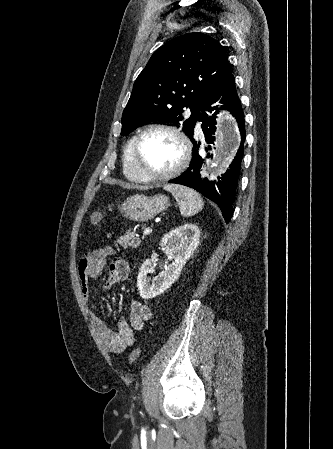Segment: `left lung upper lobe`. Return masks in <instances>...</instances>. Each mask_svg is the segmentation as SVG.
<instances>
[{
    "label": "left lung upper lobe",
    "mask_w": 333,
    "mask_h": 449,
    "mask_svg": "<svg viewBox=\"0 0 333 449\" xmlns=\"http://www.w3.org/2000/svg\"><path fill=\"white\" fill-rule=\"evenodd\" d=\"M232 75L221 44L200 32L172 39L157 49L136 79L122 115L121 135L146 122L182 126L192 140L208 101ZM190 109V116L184 111Z\"/></svg>",
    "instance_id": "obj_1"
}]
</instances>
